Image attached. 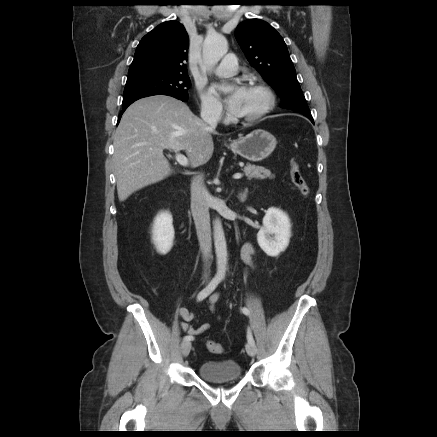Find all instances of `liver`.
Listing matches in <instances>:
<instances>
[{
	"label": "liver",
	"instance_id": "1",
	"mask_svg": "<svg viewBox=\"0 0 437 437\" xmlns=\"http://www.w3.org/2000/svg\"><path fill=\"white\" fill-rule=\"evenodd\" d=\"M189 107L175 98H142L125 111L114 137L112 158L119 200L173 173L164 149L184 150L192 168L212 157L214 134Z\"/></svg>",
	"mask_w": 437,
	"mask_h": 437
}]
</instances>
